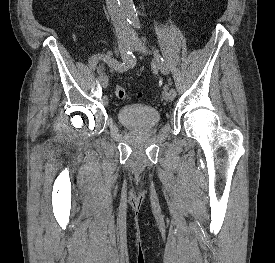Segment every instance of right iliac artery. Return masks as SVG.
<instances>
[{
	"instance_id": "82829eb1",
	"label": "right iliac artery",
	"mask_w": 275,
	"mask_h": 263,
	"mask_svg": "<svg viewBox=\"0 0 275 263\" xmlns=\"http://www.w3.org/2000/svg\"><path fill=\"white\" fill-rule=\"evenodd\" d=\"M134 59V55L132 50L129 48L126 52L124 60L122 62H118L117 60L113 59L111 54H97L90 58L89 60V67L92 70H95L97 64L100 60L106 62L111 68L115 69L116 71L123 72L129 69Z\"/></svg>"
}]
</instances>
